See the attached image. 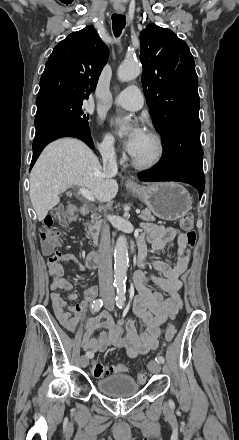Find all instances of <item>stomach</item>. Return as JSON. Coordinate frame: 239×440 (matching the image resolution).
<instances>
[{
	"instance_id": "obj_1",
	"label": "stomach",
	"mask_w": 239,
	"mask_h": 440,
	"mask_svg": "<svg viewBox=\"0 0 239 440\" xmlns=\"http://www.w3.org/2000/svg\"><path fill=\"white\" fill-rule=\"evenodd\" d=\"M132 194H136L154 216L160 220H179L192 210V198L189 192L176 184V182H157L151 186L130 188Z\"/></svg>"
}]
</instances>
